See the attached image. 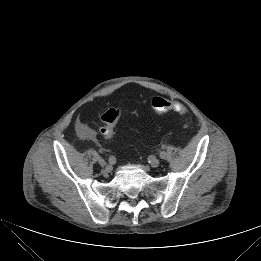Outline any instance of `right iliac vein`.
Listing matches in <instances>:
<instances>
[{
	"instance_id": "1",
	"label": "right iliac vein",
	"mask_w": 261,
	"mask_h": 261,
	"mask_svg": "<svg viewBox=\"0 0 261 261\" xmlns=\"http://www.w3.org/2000/svg\"><path fill=\"white\" fill-rule=\"evenodd\" d=\"M98 164L103 168L105 167L107 169H110V166L106 163V161L103 158H98Z\"/></svg>"
}]
</instances>
